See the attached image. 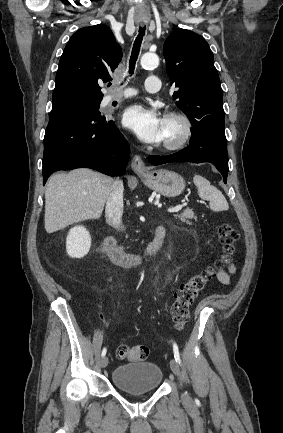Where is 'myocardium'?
Listing matches in <instances>:
<instances>
[{
  "mask_svg": "<svg viewBox=\"0 0 283 433\" xmlns=\"http://www.w3.org/2000/svg\"><path fill=\"white\" fill-rule=\"evenodd\" d=\"M164 118L178 119L183 126L181 136L176 141H165L164 147L161 150L165 155H173L181 152L192 139L194 134V123L186 112L180 110H169L164 114Z\"/></svg>",
  "mask_w": 283,
  "mask_h": 433,
  "instance_id": "myocardium-1",
  "label": "myocardium"
}]
</instances>
